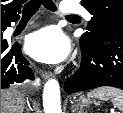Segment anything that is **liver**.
Returning a JSON list of instances; mask_svg holds the SVG:
<instances>
[{"instance_id": "obj_1", "label": "liver", "mask_w": 123, "mask_h": 113, "mask_svg": "<svg viewBox=\"0 0 123 113\" xmlns=\"http://www.w3.org/2000/svg\"><path fill=\"white\" fill-rule=\"evenodd\" d=\"M25 95L16 87L1 90V113H23Z\"/></svg>"}]
</instances>
